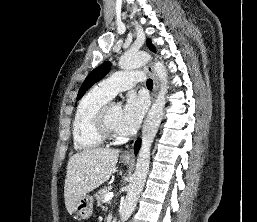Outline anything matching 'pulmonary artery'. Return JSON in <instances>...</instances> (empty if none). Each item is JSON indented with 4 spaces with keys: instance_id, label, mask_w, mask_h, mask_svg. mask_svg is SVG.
Segmentation results:
<instances>
[{
    "instance_id": "e3ab8cb5",
    "label": "pulmonary artery",
    "mask_w": 257,
    "mask_h": 222,
    "mask_svg": "<svg viewBox=\"0 0 257 222\" xmlns=\"http://www.w3.org/2000/svg\"><path fill=\"white\" fill-rule=\"evenodd\" d=\"M144 81L142 72H116L99 83V88L111 97L118 92L131 88L138 82Z\"/></svg>"
}]
</instances>
